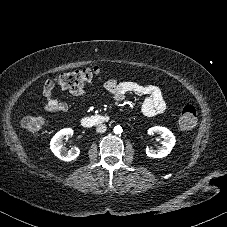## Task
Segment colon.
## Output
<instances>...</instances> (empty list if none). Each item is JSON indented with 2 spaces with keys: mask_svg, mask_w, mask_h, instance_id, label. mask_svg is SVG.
<instances>
[{
  "mask_svg": "<svg viewBox=\"0 0 227 227\" xmlns=\"http://www.w3.org/2000/svg\"><path fill=\"white\" fill-rule=\"evenodd\" d=\"M100 74L98 67H86L79 70L61 73L57 77L58 86L66 91H74L91 83ZM197 122V111L194 106L186 105L177 120L178 129L181 131L191 130ZM23 128L31 135L39 134L44 126L45 120L39 116H27L22 120Z\"/></svg>",
  "mask_w": 227,
  "mask_h": 227,
  "instance_id": "1",
  "label": "colon"
}]
</instances>
